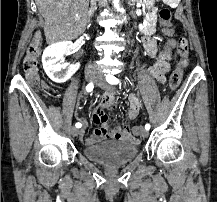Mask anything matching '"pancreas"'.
I'll return each instance as SVG.
<instances>
[{"instance_id": "1", "label": "pancreas", "mask_w": 217, "mask_h": 202, "mask_svg": "<svg viewBox=\"0 0 217 202\" xmlns=\"http://www.w3.org/2000/svg\"><path fill=\"white\" fill-rule=\"evenodd\" d=\"M144 34H148V35H157V30H148V31H144Z\"/></svg>"}]
</instances>
